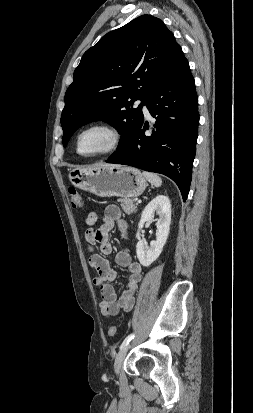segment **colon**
<instances>
[{
    "label": "colon",
    "instance_id": "colon-1",
    "mask_svg": "<svg viewBox=\"0 0 253 413\" xmlns=\"http://www.w3.org/2000/svg\"><path fill=\"white\" fill-rule=\"evenodd\" d=\"M68 196L73 208H81L83 206V199L81 195L78 193L76 188L69 187L68 188ZM117 333V327L115 325H111L108 328V335L113 337Z\"/></svg>",
    "mask_w": 253,
    "mask_h": 413
}]
</instances>
